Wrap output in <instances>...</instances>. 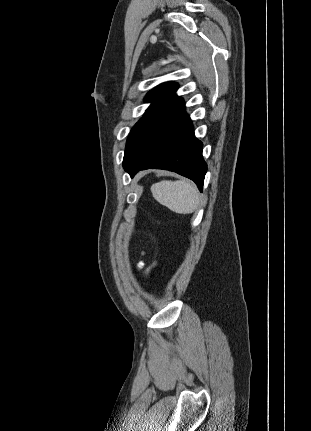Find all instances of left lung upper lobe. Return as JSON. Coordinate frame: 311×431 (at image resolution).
Returning a JSON list of instances; mask_svg holds the SVG:
<instances>
[{
	"label": "left lung upper lobe",
	"mask_w": 311,
	"mask_h": 431,
	"mask_svg": "<svg viewBox=\"0 0 311 431\" xmlns=\"http://www.w3.org/2000/svg\"><path fill=\"white\" fill-rule=\"evenodd\" d=\"M177 83H163L152 89L146 95L145 102L152 104L146 110L144 116L132 128L126 143V149L133 143L139 132L147 124V122L169 101L175 96V91L178 89Z\"/></svg>",
	"instance_id": "obj_1"
}]
</instances>
